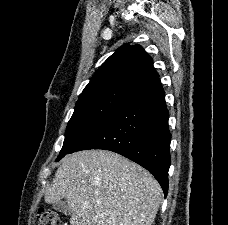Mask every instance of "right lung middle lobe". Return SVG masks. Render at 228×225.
Here are the masks:
<instances>
[{
  "label": "right lung middle lobe",
  "instance_id": "obj_1",
  "mask_svg": "<svg viewBox=\"0 0 228 225\" xmlns=\"http://www.w3.org/2000/svg\"><path fill=\"white\" fill-rule=\"evenodd\" d=\"M140 90L121 82L102 84L83 90L67 125L64 144L56 161L69 154L82 137Z\"/></svg>",
  "mask_w": 228,
  "mask_h": 225
}]
</instances>
